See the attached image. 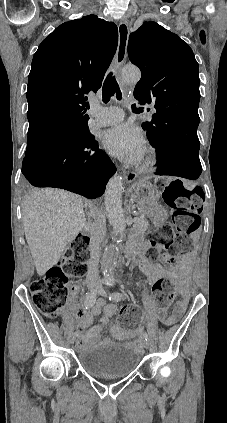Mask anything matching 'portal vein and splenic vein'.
Returning a JSON list of instances; mask_svg holds the SVG:
<instances>
[{"instance_id":"1","label":"portal vein and splenic vein","mask_w":227,"mask_h":423,"mask_svg":"<svg viewBox=\"0 0 227 423\" xmlns=\"http://www.w3.org/2000/svg\"><path fill=\"white\" fill-rule=\"evenodd\" d=\"M134 221H138V217H134Z\"/></svg>"}]
</instances>
